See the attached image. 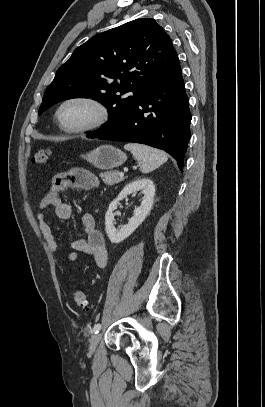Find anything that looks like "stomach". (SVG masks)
I'll use <instances>...</instances> for the list:
<instances>
[{"mask_svg":"<svg viewBox=\"0 0 265 407\" xmlns=\"http://www.w3.org/2000/svg\"><path fill=\"white\" fill-rule=\"evenodd\" d=\"M84 158L98 169L108 170L122 165L126 160V154L111 145H102L90 151Z\"/></svg>","mask_w":265,"mask_h":407,"instance_id":"0dacf381","label":"stomach"}]
</instances>
